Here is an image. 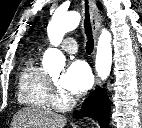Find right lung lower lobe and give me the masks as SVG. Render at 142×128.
<instances>
[{
	"label": "right lung lower lobe",
	"instance_id": "98d812e1",
	"mask_svg": "<svg viewBox=\"0 0 142 128\" xmlns=\"http://www.w3.org/2000/svg\"><path fill=\"white\" fill-rule=\"evenodd\" d=\"M110 103L103 89L94 90L90 97L83 103L80 113H76L77 118L88 116L96 119L101 128L109 125Z\"/></svg>",
	"mask_w": 142,
	"mask_h": 128
}]
</instances>
